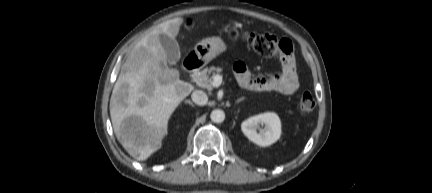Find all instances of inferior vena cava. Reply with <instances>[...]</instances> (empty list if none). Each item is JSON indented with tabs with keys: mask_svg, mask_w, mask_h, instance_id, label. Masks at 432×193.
<instances>
[{
	"mask_svg": "<svg viewBox=\"0 0 432 193\" xmlns=\"http://www.w3.org/2000/svg\"><path fill=\"white\" fill-rule=\"evenodd\" d=\"M191 98L195 104L200 105V106L206 105L208 102L207 94L201 90L193 91Z\"/></svg>",
	"mask_w": 432,
	"mask_h": 193,
	"instance_id": "obj_1",
	"label": "inferior vena cava"
}]
</instances>
